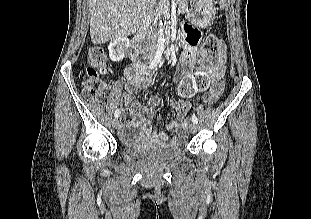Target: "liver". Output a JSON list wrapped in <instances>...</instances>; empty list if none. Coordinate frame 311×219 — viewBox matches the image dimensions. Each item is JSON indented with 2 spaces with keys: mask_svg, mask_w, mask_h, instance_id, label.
<instances>
[{
  "mask_svg": "<svg viewBox=\"0 0 311 219\" xmlns=\"http://www.w3.org/2000/svg\"><path fill=\"white\" fill-rule=\"evenodd\" d=\"M87 3L94 45L135 33L145 16V0H87Z\"/></svg>",
  "mask_w": 311,
  "mask_h": 219,
  "instance_id": "1",
  "label": "liver"
}]
</instances>
